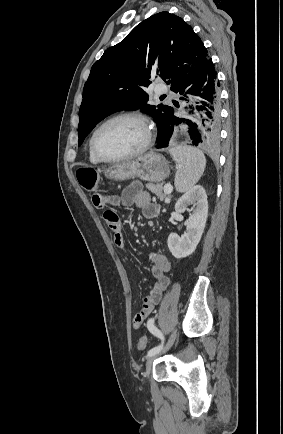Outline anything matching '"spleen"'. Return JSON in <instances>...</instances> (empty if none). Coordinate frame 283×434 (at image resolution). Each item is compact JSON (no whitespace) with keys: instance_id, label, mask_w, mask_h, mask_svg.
Wrapping results in <instances>:
<instances>
[{"instance_id":"1","label":"spleen","mask_w":283,"mask_h":434,"mask_svg":"<svg viewBox=\"0 0 283 434\" xmlns=\"http://www.w3.org/2000/svg\"><path fill=\"white\" fill-rule=\"evenodd\" d=\"M177 163L175 187L180 193L190 190L203 175L206 158L202 151L190 146H176L170 150Z\"/></svg>"}]
</instances>
